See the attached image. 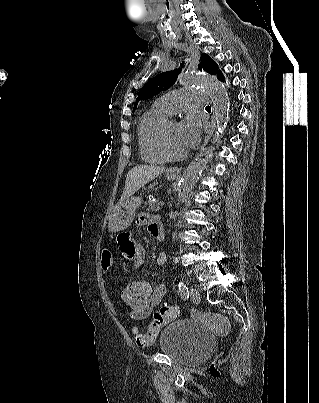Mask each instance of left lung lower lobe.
<instances>
[{
  "instance_id": "0a47b994",
  "label": "left lung lower lobe",
  "mask_w": 319,
  "mask_h": 403,
  "mask_svg": "<svg viewBox=\"0 0 319 403\" xmlns=\"http://www.w3.org/2000/svg\"><path fill=\"white\" fill-rule=\"evenodd\" d=\"M218 79L224 82V76H223L222 73H220V74L218 75Z\"/></svg>"
}]
</instances>
